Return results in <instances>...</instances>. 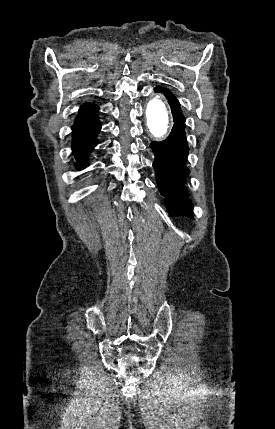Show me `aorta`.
<instances>
[{
	"label": "aorta",
	"mask_w": 275,
	"mask_h": 429,
	"mask_svg": "<svg viewBox=\"0 0 275 429\" xmlns=\"http://www.w3.org/2000/svg\"><path fill=\"white\" fill-rule=\"evenodd\" d=\"M147 127L156 138L165 136L168 132L171 114L165 98L161 94H153L146 105Z\"/></svg>",
	"instance_id": "762f6f07"
}]
</instances>
